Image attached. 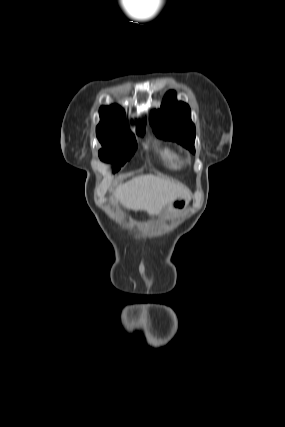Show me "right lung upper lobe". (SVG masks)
I'll list each match as a JSON object with an SVG mask.
<instances>
[{
    "mask_svg": "<svg viewBox=\"0 0 285 427\" xmlns=\"http://www.w3.org/2000/svg\"><path fill=\"white\" fill-rule=\"evenodd\" d=\"M101 122L97 126V132L128 129L125 113L118 105L102 106L99 110ZM140 126L139 129H141Z\"/></svg>",
    "mask_w": 285,
    "mask_h": 427,
    "instance_id": "obj_1",
    "label": "right lung upper lobe"
}]
</instances>
